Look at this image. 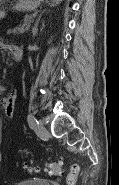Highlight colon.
<instances>
[{
  "label": "colon",
  "mask_w": 119,
  "mask_h": 185,
  "mask_svg": "<svg viewBox=\"0 0 119 185\" xmlns=\"http://www.w3.org/2000/svg\"><path fill=\"white\" fill-rule=\"evenodd\" d=\"M27 169L30 172H35V173L40 171V168L37 165H29L27 166ZM62 171H63L62 161L50 162L45 165V172L49 175H59L62 173ZM79 172H80L79 166L77 164H74L71 167L70 172L67 176L68 185H76L79 177Z\"/></svg>",
  "instance_id": "5ec220e1"
}]
</instances>
